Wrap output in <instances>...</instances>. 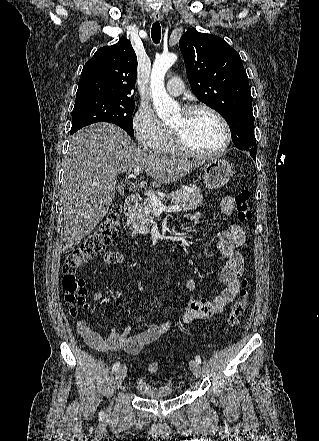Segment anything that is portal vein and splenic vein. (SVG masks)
Returning <instances> with one entry per match:
<instances>
[{
	"mask_svg": "<svg viewBox=\"0 0 319 441\" xmlns=\"http://www.w3.org/2000/svg\"><path fill=\"white\" fill-rule=\"evenodd\" d=\"M140 172H141L140 168H135L133 170V173L130 175V177H136L137 175L140 174ZM146 195L151 199L152 204L154 206V211L158 214H160L163 211L176 212L179 210V206H170V207L164 206L154 193L146 192Z\"/></svg>",
	"mask_w": 319,
	"mask_h": 441,
	"instance_id": "obj_1",
	"label": "portal vein and splenic vein"
}]
</instances>
